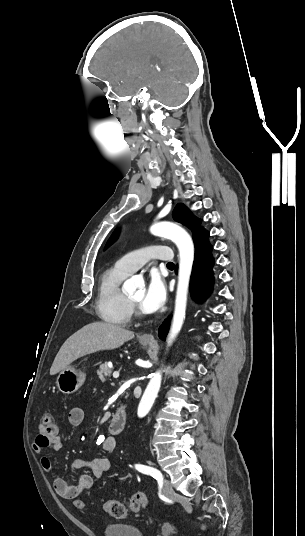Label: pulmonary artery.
I'll use <instances>...</instances> for the list:
<instances>
[{"label": "pulmonary artery", "instance_id": "1", "mask_svg": "<svg viewBox=\"0 0 305 536\" xmlns=\"http://www.w3.org/2000/svg\"><path fill=\"white\" fill-rule=\"evenodd\" d=\"M138 252L140 255H138ZM150 254L151 256H146ZM155 254V255H153ZM172 248L169 245H159L156 242L146 247L140 248L139 251L130 252L127 255L119 259L115 267L121 272L130 275L142 267L151 259H158L164 263H168L172 260Z\"/></svg>", "mask_w": 305, "mask_h": 536}]
</instances>
